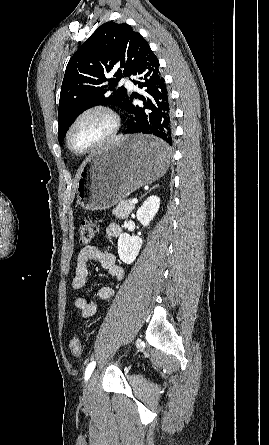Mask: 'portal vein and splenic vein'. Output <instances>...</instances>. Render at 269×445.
Instances as JSON below:
<instances>
[{
	"label": "portal vein and splenic vein",
	"mask_w": 269,
	"mask_h": 445,
	"mask_svg": "<svg viewBox=\"0 0 269 445\" xmlns=\"http://www.w3.org/2000/svg\"><path fill=\"white\" fill-rule=\"evenodd\" d=\"M131 202H132L133 204H135V203H137V199H133Z\"/></svg>",
	"instance_id": "obj_1"
}]
</instances>
